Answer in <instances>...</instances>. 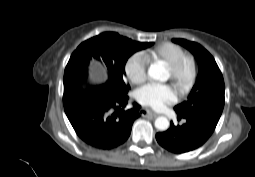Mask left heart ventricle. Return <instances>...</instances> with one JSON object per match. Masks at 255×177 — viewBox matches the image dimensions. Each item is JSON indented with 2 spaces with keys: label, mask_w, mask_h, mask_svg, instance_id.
<instances>
[{
  "label": "left heart ventricle",
  "mask_w": 255,
  "mask_h": 177,
  "mask_svg": "<svg viewBox=\"0 0 255 177\" xmlns=\"http://www.w3.org/2000/svg\"><path fill=\"white\" fill-rule=\"evenodd\" d=\"M168 76L171 77L170 71L167 69Z\"/></svg>",
  "instance_id": "1"
}]
</instances>
